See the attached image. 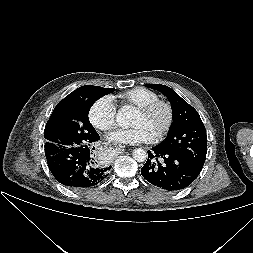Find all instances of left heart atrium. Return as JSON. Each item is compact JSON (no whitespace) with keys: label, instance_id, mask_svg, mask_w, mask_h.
I'll return each mask as SVG.
<instances>
[{"label":"left heart atrium","instance_id":"39dd6f15","mask_svg":"<svg viewBox=\"0 0 253 253\" xmlns=\"http://www.w3.org/2000/svg\"><path fill=\"white\" fill-rule=\"evenodd\" d=\"M154 135L143 125H136L128 129H118L108 135L111 142L135 145L140 143H148L154 139Z\"/></svg>","mask_w":253,"mask_h":253}]
</instances>
